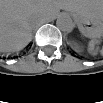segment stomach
<instances>
[{
  "instance_id": "0dacf381",
  "label": "stomach",
  "mask_w": 103,
  "mask_h": 103,
  "mask_svg": "<svg viewBox=\"0 0 103 103\" xmlns=\"http://www.w3.org/2000/svg\"><path fill=\"white\" fill-rule=\"evenodd\" d=\"M71 15L79 31L88 38H97L103 30V3L100 0H74Z\"/></svg>"
}]
</instances>
